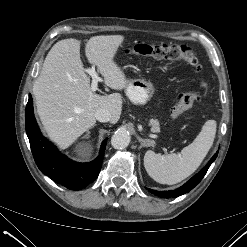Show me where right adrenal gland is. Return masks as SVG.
I'll return each instance as SVG.
<instances>
[{
	"label": "right adrenal gland",
	"mask_w": 247,
	"mask_h": 247,
	"mask_svg": "<svg viewBox=\"0 0 247 247\" xmlns=\"http://www.w3.org/2000/svg\"><path fill=\"white\" fill-rule=\"evenodd\" d=\"M88 135L90 134V131H88V133H87Z\"/></svg>",
	"instance_id": "1"
}]
</instances>
